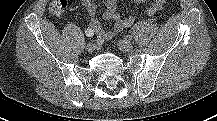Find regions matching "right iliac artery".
Instances as JSON below:
<instances>
[{
    "mask_svg": "<svg viewBox=\"0 0 217 121\" xmlns=\"http://www.w3.org/2000/svg\"><path fill=\"white\" fill-rule=\"evenodd\" d=\"M95 42H96L97 44H100V40H99L98 38L95 40Z\"/></svg>",
    "mask_w": 217,
    "mask_h": 121,
    "instance_id": "right-iliac-artery-1",
    "label": "right iliac artery"
}]
</instances>
